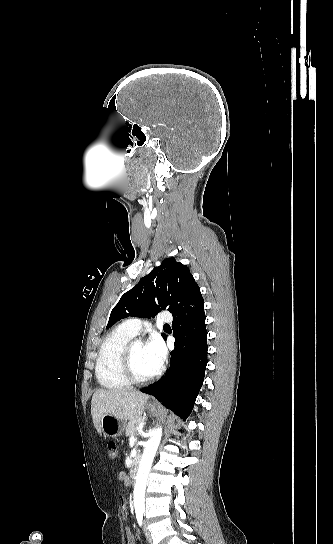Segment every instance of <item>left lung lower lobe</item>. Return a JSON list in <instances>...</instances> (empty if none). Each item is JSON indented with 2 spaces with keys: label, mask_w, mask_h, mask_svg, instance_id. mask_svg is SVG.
<instances>
[{
  "label": "left lung lower lobe",
  "mask_w": 333,
  "mask_h": 544,
  "mask_svg": "<svg viewBox=\"0 0 333 544\" xmlns=\"http://www.w3.org/2000/svg\"><path fill=\"white\" fill-rule=\"evenodd\" d=\"M172 315L175 348L171 352L170 368L159 382L141 391L153 395L185 420L203 384L207 365L203 297Z\"/></svg>",
  "instance_id": "1"
}]
</instances>
